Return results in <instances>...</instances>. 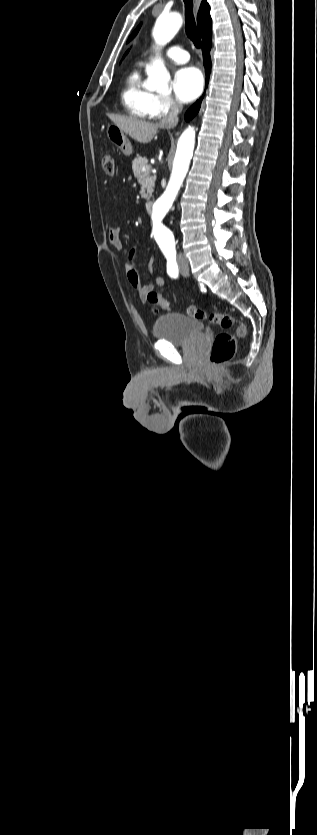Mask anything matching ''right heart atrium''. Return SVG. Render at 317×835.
Segmentation results:
<instances>
[{"mask_svg": "<svg viewBox=\"0 0 317 835\" xmlns=\"http://www.w3.org/2000/svg\"><path fill=\"white\" fill-rule=\"evenodd\" d=\"M180 105L168 95H155L151 106V117L162 118L177 112Z\"/></svg>", "mask_w": 317, "mask_h": 835, "instance_id": "obj_1", "label": "right heart atrium"}]
</instances>
